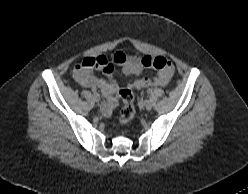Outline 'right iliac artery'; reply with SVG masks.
Returning <instances> with one entry per match:
<instances>
[{"mask_svg":"<svg viewBox=\"0 0 248 194\" xmlns=\"http://www.w3.org/2000/svg\"><path fill=\"white\" fill-rule=\"evenodd\" d=\"M92 92H93L94 94H96V90H93V89H92Z\"/></svg>","mask_w":248,"mask_h":194,"instance_id":"1","label":"right iliac artery"}]
</instances>
